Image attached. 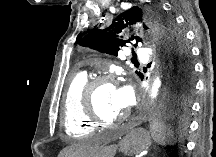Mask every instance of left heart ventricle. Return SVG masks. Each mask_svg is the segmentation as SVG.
Returning <instances> with one entry per match:
<instances>
[{
	"label": "left heart ventricle",
	"mask_w": 216,
	"mask_h": 157,
	"mask_svg": "<svg viewBox=\"0 0 216 157\" xmlns=\"http://www.w3.org/2000/svg\"><path fill=\"white\" fill-rule=\"evenodd\" d=\"M95 103L97 112L106 120H114L125 114V109L117 106L115 86L101 87L96 93Z\"/></svg>",
	"instance_id": "left-heart-ventricle-1"
}]
</instances>
